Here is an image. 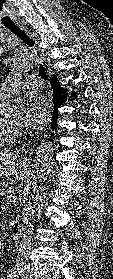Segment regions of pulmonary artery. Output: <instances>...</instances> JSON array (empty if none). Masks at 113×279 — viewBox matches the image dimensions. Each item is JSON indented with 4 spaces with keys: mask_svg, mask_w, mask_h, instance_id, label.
Wrapping results in <instances>:
<instances>
[{
    "mask_svg": "<svg viewBox=\"0 0 113 279\" xmlns=\"http://www.w3.org/2000/svg\"><path fill=\"white\" fill-rule=\"evenodd\" d=\"M24 89L38 91L42 89V83L33 77L18 75L7 78L0 85V90L7 95H12L17 91Z\"/></svg>",
    "mask_w": 113,
    "mask_h": 279,
    "instance_id": "e3ab8cb5",
    "label": "pulmonary artery"
}]
</instances>
